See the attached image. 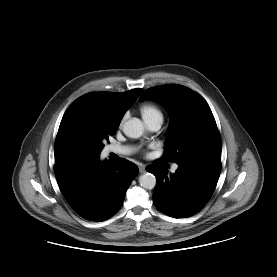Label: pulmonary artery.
<instances>
[{"mask_svg": "<svg viewBox=\"0 0 277 277\" xmlns=\"http://www.w3.org/2000/svg\"><path fill=\"white\" fill-rule=\"evenodd\" d=\"M146 124L150 130L157 131L162 125V120L157 119V120L147 122ZM131 152H132V149L126 146L112 145L106 149L107 154L113 153L118 155H127V154H130ZM177 167H178L177 165H173L172 170L175 171Z\"/></svg>", "mask_w": 277, "mask_h": 277, "instance_id": "e3ab8cb5", "label": "pulmonary artery"}]
</instances>
